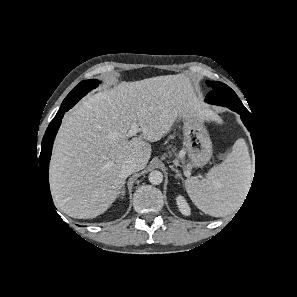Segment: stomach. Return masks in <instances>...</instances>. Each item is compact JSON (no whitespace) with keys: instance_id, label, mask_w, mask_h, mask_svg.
<instances>
[{"instance_id":"0dacf381","label":"stomach","mask_w":297,"mask_h":297,"mask_svg":"<svg viewBox=\"0 0 297 297\" xmlns=\"http://www.w3.org/2000/svg\"><path fill=\"white\" fill-rule=\"evenodd\" d=\"M183 119V152L180 157H188L189 165L201 167L212 157V141L201 117L186 115Z\"/></svg>"}]
</instances>
